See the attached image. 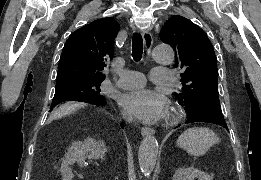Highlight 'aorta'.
I'll list each match as a JSON object with an SVG mask.
<instances>
[{
    "mask_svg": "<svg viewBox=\"0 0 261 180\" xmlns=\"http://www.w3.org/2000/svg\"><path fill=\"white\" fill-rule=\"evenodd\" d=\"M153 59L161 64H169L174 60V51L168 45H158L152 52ZM158 155V142L154 136L143 139L138 150V160L142 173L150 175Z\"/></svg>",
    "mask_w": 261,
    "mask_h": 180,
    "instance_id": "1",
    "label": "aorta"
}]
</instances>
